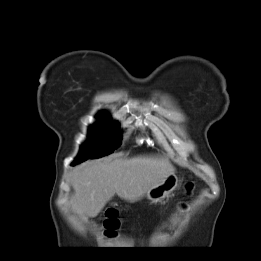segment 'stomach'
<instances>
[{
	"instance_id": "stomach-1",
	"label": "stomach",
	"mask_w": 261,
	"mask_h": 261,
	"mask_svg": "<svg viewBox=\"0 0 261 261\" xmlns=\"http://www.w3.org/2000/svg\"><path fill=\"white\" fill-rule=\"evenodd\" d=\"M177 186L178 178L174 173H172L166 178V180L162 184L152 188L147 193V198L153 202L160 201L164 199L166 196H168L173 190H175Z\"/></svg>"
}]
</instances>
